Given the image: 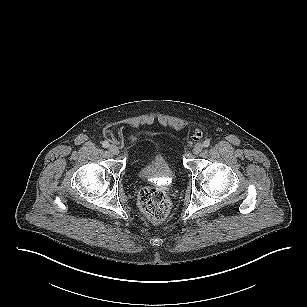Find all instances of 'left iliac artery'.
I'll list each match as a JSON object with an SVG mask.
<instances>
[{"label": "left iliac artery", "mask_w": 307, "mask_h": 307, "mask_svg": "<svg viewBox=\"0 0 307 307\" xmlns=\"http://www.w3.org/2000/svg\"><path fill=\"white\" fill-rule=\"evenodd\" d=\"M203 146H204V147H209V146H210V141H209V140H205V141L203 142Z\"/></svg>", "instance_id": "left-iliac-artery-1"}]
</instances>
